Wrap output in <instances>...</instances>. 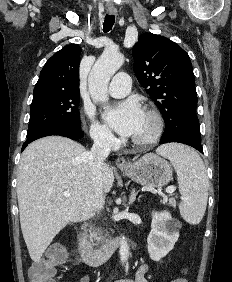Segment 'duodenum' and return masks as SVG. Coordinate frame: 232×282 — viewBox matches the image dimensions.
Here are the masks:
<instances>
[{
	"label": "duodenum",
	"mask_w": 232,
	"mask_h": 282,
	"mask_svg": "<svg viewBox=\"0 0 232 282\" xmlns=\"http://www.w3.org/2000/svg\"><path fill=\"white\" fill-rule=\"evenodd\" d=\"M124 239L115 238L99 248H95L87 239L85 234L81 232L78 239V247L82 260L89 266H99L106 262L112 254L123 243Z\"/></svg>",
	"instance_id": "1"
}]
</instances>
